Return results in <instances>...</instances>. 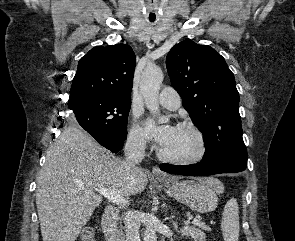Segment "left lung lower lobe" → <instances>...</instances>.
<instances>
[{
	"instance_id": "left-lung-lower-lobe-1",
	"label": "left lung lower lobe",
	"mask_w": 295,
	"mask_h": 241,
	"mask_svg": "<svg viewBox=\"0 0 295 241\" xmlns=\"http://www.w3.org/2000/svg\"><path fill=\"white\" fill-rule=\"evenodd\" d=\"M160 169L170 174L186 175V176H208L220 173H236L246 170V164L226 160V159H213L202 160L197 164L192 165H171L161 164Z\"/></svg>"
}]
</instances>
